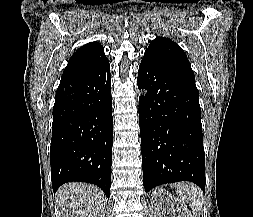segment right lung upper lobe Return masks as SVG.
Returning <instances> with one entry per match:
<instances>
[{
    "mask_svg": "<svg viewBox=\"0 0 253 217\" xmlns=\"http://www.w3.org/2000/svg\"><path fill=\"white\" fill-rule=\"evenodd\" d=\"M106 62L108 61L103 46L98 42L87 43L72 55L61 81L89 73Z\"/></svg>",
    "mask_w": 253,
    "mask_h": 217,
    "instance_id": "obj_1",
    "label": "right lung upper lobe"
}]
</instances>
